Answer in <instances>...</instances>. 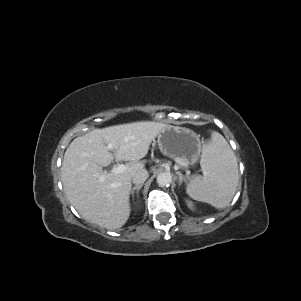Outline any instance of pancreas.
Returning <instances> with one entry per match:
<instances>
[{
    "label": "pancreas",
    "instance_id": "cf45deb5",
    "mask_svg": "<svg viewBox=\"0 0 301 301\" xmlns=\"http://www.w3.org/2000/svg\"><path fill=\"white\" fill-rule=\"evenodd\" d=\"M178 163H179V165H181V166H186L187 164L184 162V161H182V160H179V161H177Z\"/></svg>",
    "mask_w": 301,
    "mask_h": 301
}]
</instances>
